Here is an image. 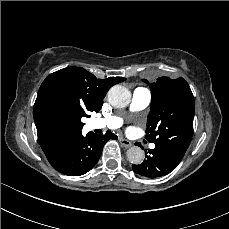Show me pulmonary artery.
Segmentation results:
<instances>
[{
  "mask_svg": "<svg viewBox=\"0 0 229 229\" xmlns=\"http://www.w3.org/2000/svg\"><path fill=\"white\" fill-rule=\"evenodd\" d=\"M151 102V92L148 88L139 87L133 91L130 109L140 111L145 109ZM122 125V119L117 116H111L106 119H92L89 124L90 129H110L114 130ZM151 148L154 147L152 144Z\"/></svg>",
  "mask_w": 229,
  "mask_h": 229,
  "instance_id": "1",
  "label": "pulmonary artery"
}]
</instances>
